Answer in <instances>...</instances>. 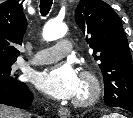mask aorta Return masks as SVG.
<instances>
[{
  "label": "aorta",
  "instance_id": "762f6f07",
  "mask_svg": "<svg viewBox=\"0 0 133 118\" xmlns=\"http://www.w3.org/2000/svg\"><path fill=\"white\" fill-rule=\"evenodd\" d=\"M67 33L65 24L56 21H49L43 28L42 36L46 41H53L62 38Z\"/></svg>",
  "mask_w": 133,
  "mask_h": 118
}]
</instances>
